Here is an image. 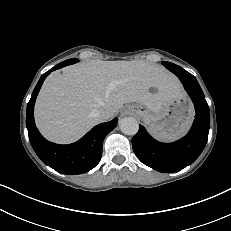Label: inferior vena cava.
Masks as SVG:
<instances>
[{
    "label": "inferior vena cava",
    "mask_w": 231,
    "mask_h": 231,
    "mask_svg": "<svg viewBox=\"0 0 231 231\" xmlns=\"http://www.w3.org/2000/svg\"><path fill=\"white\" fill-rule=\"evenodd\" d=\"M95 116L99 119L100 122H105L109 120L113 116V114L108 110L102 109L97 111Z\"/></svg>",
    "instance_id": "1"
}]
</instances>
